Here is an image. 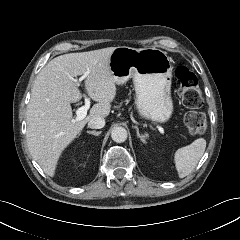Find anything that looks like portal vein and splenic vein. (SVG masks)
Listing matches in <instances>:
<instances>
[{
  "instance_id": "18ae733b",
  "label": "portal vein and splenic vein",
  "mask_w": 240,
  "mask_h": 240,
  "mask_svg": "<svg viewBox=\"0 0 240 240\" xmlns=\"http://www.w3.org/2000/svg\"><path fill=\"white\" fill-rule=\"evenodd\" d=\"M88 73L89 72L84 73V75L81 76L78 79V81L76 80V82H77L76 84L80 85L81 81L84 80L87 77ZM89 108H90V99L85 97V105L76 110V115L77 116H76L75 119L72 120V122L75 123V122L83 120L86 117L87 111H88ZM157 129L159 130V132L161 134L165 133L164 129L160 125L157 126Z\"/></svg>"
}]
</instances>
